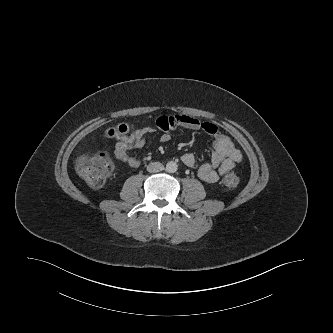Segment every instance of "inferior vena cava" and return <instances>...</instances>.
Segmentation results:
<instances>
[{"mask_svg":"<svg viewBox=\"0 0 333 333\" xmlns=\"http://www.w3.org/2000/svg\"><path fill=\"white\" fill-rule=\"evenodd\" d=\"M164 169V166L160 162H151L147 166V171L150 173H157Z\"/></svg>","mask_w":333,"mask_h":333,"instance_id":"602c4592","label":"inferior vena cava"}]
</instances>
